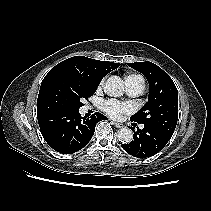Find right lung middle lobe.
Here are the masks:
<instances>
[{
	"label": "right lung middle lobe",
	"mask_w": 211,
	"mask_h": 211,
	"mask_svg": "<svg viewBox=\"0 0 211 211\" xmlns=\"http://www.w3.org/2000/svg\"><path fill=\"white\" fill-rule=\"evenodd\" d=\"M97 86H90L81 80L60 73L45 76L41 83L37 113L53 110H79L83 99L96 92Z\"/></svg>",
	"instance_id": "right-lung-middle-lobe-1"
}]
</instances>
